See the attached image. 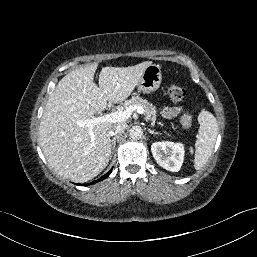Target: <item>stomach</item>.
I'll use <instances>...</instances> for the list:
<instances>
[{"label":"stomach","mask_w":257,"mask_h":257,"mask_svg":"<svg viewBox=\"0 0 257 257\" xmlns=\"http://www.w3.org/2000/svg\"><path fill=\"white\" fill-rule=\"evenodd\" d=\"M162 80L161 67L156 64L149 65L143 72L138 84L139 92L150 93L160 87Z\"/></svg>","instance_id":"obj_1"}]
</instances>
